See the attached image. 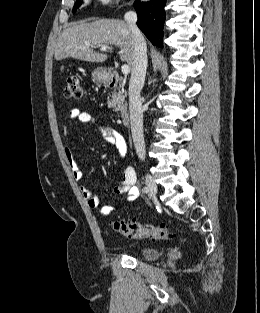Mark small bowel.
Instances as JSON below:
<instances>
[{"label":"small bowel","mask_w":260,"mask_h":313,"mask_svg":"<svg viewBox=\"0 0 260 313\" xmlns=\"http://www.w3.org/2000/svg\"><path fill=\"white\" fill-rule=\"evenodd\" d=\"M69 117L70 119H76L82 123L88 124L92 129H94L102 136L104 141L111 143L116 147L120 158L125 157L127 152L126 141L114 127L94 118L89 112L76 108L70 111ZM63 140L65 142L64 154L72 177L76 181H80L83 178V172L74 157L73 148L69 143V129L67 122L63 124ZM136 179L135 170L131 166H126L123 170V180L121 184L115 189V193L117 195L127 196L126 199L129 204L134 203L138 197V189L135 186ZM79 190L90 208L99 207V212L103 216H107L112 212L113 206L109 204L100 206L98 197L86 185H80Z\"/></svg>","instance_id":"c3829d8e"}]
</instances>
